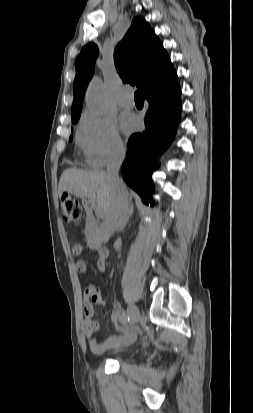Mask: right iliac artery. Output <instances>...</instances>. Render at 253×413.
I'll use <instances>...</instances> for the list:
<instances>
[{"instance_id":"right-iliac-artery-1","label":"right iliac artery","mask_w":253,"mask_h":413,"mask_svg":"<svg viewBox=\"0 0 253 413\" xmlns=\"http://www.w3.org/2000/svg\"><path fill=\"white\" fill-rule=\"evenodd\" d=\"M120 319L122 321H127V320L129 321V317L127 316V314L124 311L121 312Z\"/></svg>"}]
</instances>
